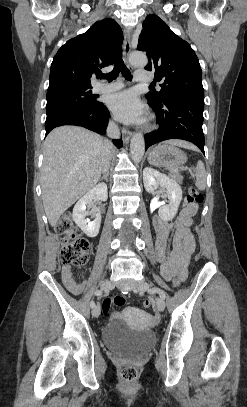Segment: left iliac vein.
Segmentation results:
<instances>
[{
    "instance_id": "obj_1",
    "label": "left iliac vein",
    "mask_w": 247,
    "mask_h": 407,
    "mask_svg": "<svg viewBox=\"0 0 247 407\" xmlns=\"http://www.w3.org/2000/svg\"><path fill=\"white\" fill-rule=\"evenodd\" d=\"M149 288H150V285H149L147 282L142 281V282H140V283L138 284V286L135 288V291H137V292H139V293H143V292H145V291H148ZM156 307H157L158 311H160V312L163 311L164 308H165L164 299H162L161 297H157V298H156Z\"/></svg>"
}]
</instances>
